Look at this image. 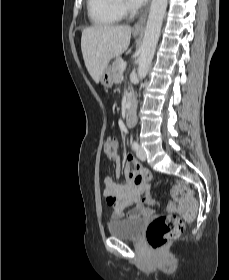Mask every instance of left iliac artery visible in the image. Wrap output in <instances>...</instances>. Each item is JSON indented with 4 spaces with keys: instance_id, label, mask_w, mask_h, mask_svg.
Wrapping results in <instances>:
<instances>
[{
    "instance_id": "44dca946",
    "label": "left iliac artery",
    "mask_w": 229,
    "mask_h": 280,
    "mask_svg": "<svg viewBox=\"0 0 229 280\" xmlns=\"http://www.w3.org/2000/svg\"><path fill=\"white\" fill-rule=\"evenodd\" d=\"M138 148H139L138 143H137L136 141H133V142H132V149H133V150H137Z\"/></svg>"
}]
</instances>
